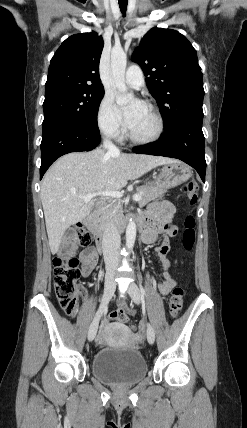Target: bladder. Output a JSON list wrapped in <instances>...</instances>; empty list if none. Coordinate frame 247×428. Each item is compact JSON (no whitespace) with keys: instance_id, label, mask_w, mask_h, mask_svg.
I'll return each mask as SVG.
<instances>
[{"instance_id":"obj_1","label":"bladder","mask_w":247,"mask_h":428,"mask_svg":"<svg viewBox=\"0 0 247 428\" xmlns=\"http://www.w3.org/2000/svg\"><path fill=\"white\" fill-rule=\"evenodd\" d=\"M95 377L113 385H130L141 380L147 372L143 356L128 347H111L98 351L92 360Z\"/></svg>"}]
</instances>
